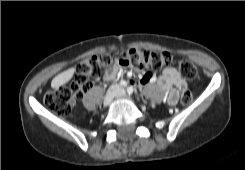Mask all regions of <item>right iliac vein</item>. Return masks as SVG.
I'll return each mask as SVG.
<instances>
[{
	"instance_id": "63e3f726",
	"label": "right iliac vein",
	"mask_w": 245,
	"mask_h": 170,
	"mask_svg": "<svg viewBox=\"0 0 245 170\" xmlns=\"http://www.w3.org/2000/svg\"><path fill=\"white\" fill-rule=\"evenodd\" d=\"M117 93H118V90L116 87H112L111 89H109L105 95L103 105L105 107L109 106L112 103L115 96L117 95Z\"/></svg>"
}]
</instances>
